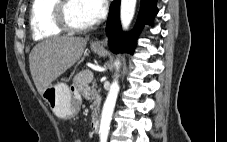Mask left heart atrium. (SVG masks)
<instances>
[{
	"label": "left heart atrium",
	"mask_w": 227,
	"mask_h": 142,
	"mask_svg": "<svg viewBox=\"0 0 227 142\" xmlns=\"http://www.w3.org/2000/svg\"><path fill=\"white\" fill-rule=\"evenodd\" d=\"M81 3L92 22L101 19L105 15L107 0H81Z\"/></svg>",
	"instance_id": "left-heart-atrium-1"
}]
</instances>
